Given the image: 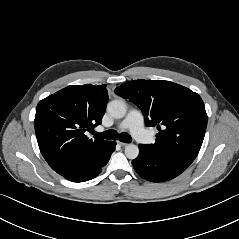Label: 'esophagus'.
Wrapping results in <instances>:
<instances>
[{
    "label": "esophagus",
    "mask_w": 239,
    "mask_h": 239,
    "mask_svg": "<svg viewBox=\"0 0 239 239\" xmlns=\"http://www.w3.org/2000/svg\"><path fill=\"white\" fill-rule=\"evenodd\" d=\"M117 144L120 145V146H122V147H125V146L128 145L127 143L120 142V141H117Z\"/></svg>",
    "instance_id": "esophagus-1"
}]
</instances>
